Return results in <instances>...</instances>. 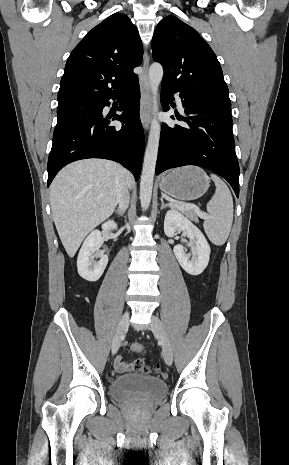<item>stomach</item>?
Here are the masks:
<instances>
[{
	"label": "stomach",
	"mask_w": 289,
	"mask_h": 465,
	"mask_svg": "<svg viewBox=\"0 0 289 465\" xmlns=\"http://www.w3.org/2000/svg\"><path fill=\"white\" fill-rule=\"evenodd\" d=\"M209 177L196 166L176 168L160 180V189L178 200L190 201L203 196L209 187Z\"/></svg>",
	"instance_id": "obj_1"
}]
</instances>
